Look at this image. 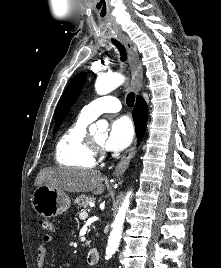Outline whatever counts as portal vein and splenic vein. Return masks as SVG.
Here are the masks:
<instances>
[{
	"instance_id": "obj_1",
	"label": "portal vein and splenic vein",
	"mask_w": 221,
	"mask_h": 268,
	"mask_svg": "<svg viewBox=\"0 0 221 268\" xmlns=\"http://www.w3.org/2000/svg\"><path fill=\"white\" fill-rule=\"evenodd\" d=\"M79 216L81 219H86L88 218V213L86 211H82Z\"/></svg>"
}]
</instances>
